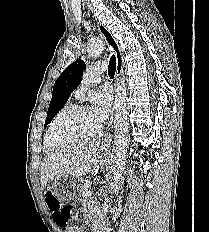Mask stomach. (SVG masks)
Returning <instances> with one entry per match:
<instances>
[{
    "label": "stomach",
    "instance_id": "0dacf381",
    "mask_svg": "<svg viewBox=\"0 0 209 232\" xmlns=\"http://www.w3.org/2000/svg\"><path fill=\"white\" fill-rule=\"evenodd\" d=\"M52 188L55 199H80L81 182L77 176H56Z\"/></svg>",
    "mask_w": 209,
    "mask_h": 232
}]
</instances>
